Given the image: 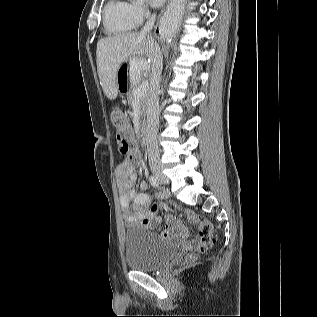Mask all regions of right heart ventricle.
<instances>
[{"instance_id":"1","label":"right heart ventricle","mask_w":317,"mask_h":317,"mask_svg":"<svg viewBox=\"0 0 317 317\" xmlns=\"http://www.w3.org/2000/svg\"><path fill=\"white\" fill-rule=\"evenodd\" d=\"M103 22L109 35H121L137 26L132 4L127 0H108L103 10Z\"/></svg>"}]
</instances>
